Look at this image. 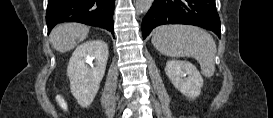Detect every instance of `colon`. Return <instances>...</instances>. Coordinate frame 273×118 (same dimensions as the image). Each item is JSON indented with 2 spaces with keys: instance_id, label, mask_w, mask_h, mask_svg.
<instances>
[{
  "instance_id": "5ec220e1",
  "label": "colon",
  "mask_w": 273,
  "mask_h": 118,
  "mask_svg": "<svg viewBox=\"0 0 273 118\" xmlns=\"http://www.w3.org/2000/svg\"><path fill=\"white\" fill-rule=\"evenodd\" d=\"M57 101H58V103L60 104V106H61L62 108H65V102H64V100H63L62 98L58 97V98H57Z\"/></svg>"
}]
</instances>
